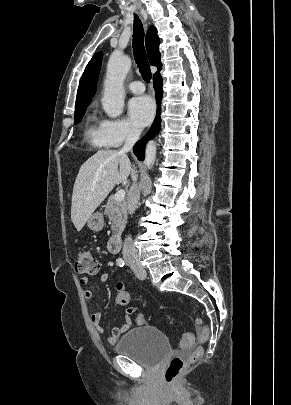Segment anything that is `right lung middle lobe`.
<instances>
[{"mask_svg":"<svg viewBox=\"0 0 291 405\" xmlns=\"http://www.w3.org/2000/svg\"><path fill=\"white\" fill-rule=\"evenodd\" d=\"M85 111H86V108L75 110V113H74L75 124H78L81 121L82 116L84 115Z\"/></svg>","mask_w":291,"mask_h":405,"instance_id":"obj_1","label":"right lung middle lobe"}]
</instances>
